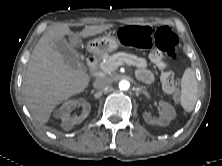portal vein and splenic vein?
<instances>
[{"label":"portal vein and splenic vein","mask_w":222,"mask_h":166,"mask_svg":"<svg viewBox=\"0 0 222 166\" xmlns=\"http://www.w3.org/2000/svg\"><path fill=\"white\" fill-rule=\"evenodd\" d=\"M120 65H123V63H121V62L116 63L115 68H117Z\"/></svg>","instance_id":"portal-vein-and-splenic-vein-1"}]
</instances>
